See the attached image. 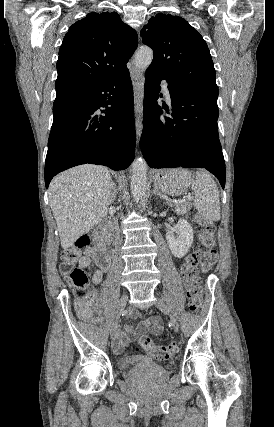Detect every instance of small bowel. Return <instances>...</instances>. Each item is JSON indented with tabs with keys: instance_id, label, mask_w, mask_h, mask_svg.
I'll use <instances>...</instances> for the list:
<instances>
[{
	"instance_id": "small-bowel-1",
	"label": "small bowel",
	"mask_w": 274,
	"mask_h": 427,
	"mask_svg": "<svg viewBox=\"0 0 274 427\" xmlns=\"http://www.w3.org/2000/svg\"><path fill=\"white\" fill-rule=\"evenodd\" d=\"M209 254L212 257H216L219 254V251L215 248L214 250H210ZM91 261L95 264V270L91 275V281L94 284H98L102 280L104 273H106L110 267V257L107 250L100 247L98 244L87 247L78 261V266L80 268H86L90 265ZM204 268L206 270H214L216 268V263L214 261H206L204 263ZM75 308L80 317L87 320H91L93 318L94 312L88 302L77 301L75 303ZM131 318L135 319L137 318V315L132 314ZM162 329V322L157 316H150L143 319L136 327L132 322H129L123 331L117 330L114 333V348L116 351H121L127 345L132 343L138 335L146 334L148 332L158 335L161 333Z\"/></svg>"
}]
</instances>
